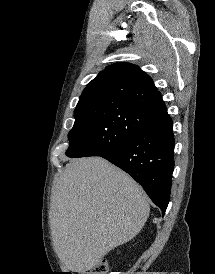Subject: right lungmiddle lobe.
<instances>
[{
    "label": "right lung middle lobe",
    "mask_w": 215,
    "mask_h": 274,
    "mask_svg": "<svg viewBox=\"0 0 215 274\" xmlns=\"http://www.w3.org/2000/svg\"><path fill=\"white\" fill-rule=\"evenodd\" d=\"M66 152L72 158L102 156L127 142L156 114L112 100L78 103Z\"/></svg>",
    "instance_id": "1"
}]
</instances>
